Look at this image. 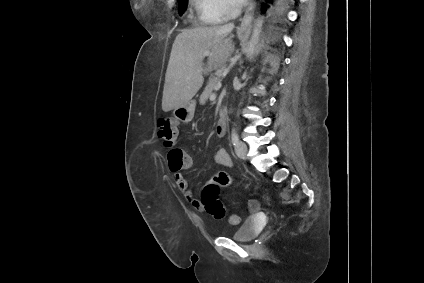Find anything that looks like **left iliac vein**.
<instances>
[{
	"mask_svg": "<svg viewBox=\"0 0 424 283\" xmlns=\"http://www.w3.org/2000/svg\"><path fill=\"white\" fill-rule=\"evenodd\" d=\"M247 146L243 142H239L236 147V154L239 158L245 160L247 158Z\"/></svg>",
	"mask_w": 424,
	"mask_h": 283,
	"instance_id": "left-iliac-vein-1",
	"label": "left iliac vein"
}]
</instances>
